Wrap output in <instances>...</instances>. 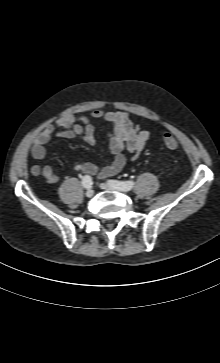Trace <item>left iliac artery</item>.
I'll return each instance as SVG.
<instances>
[{
    "label": "left iliac artery",
    "instance_id": "left-iliac-artery-1",
    "mask_svg": "<svg viewBox=\"0 0 220 363\" xmlns=\"http://www.w3.org/2000/svg\"><path fill=\"white\" fill-rule=\"evenodd\" d=\"M110 185L116 187L122 191H129L134 186V181H117V180H109Z\"/></svg>",
    "mask_w": 220,
    "mask_h": 363
}]
</instances>
